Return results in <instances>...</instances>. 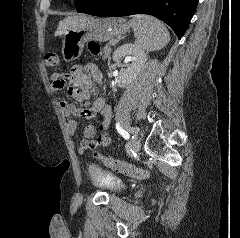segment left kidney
Segmentation results:
<instances>
[{
	"label": "left kidney",
	"instance_id": "obj_1",
	"mask_svg": "<svg viewBox=\"0 0 240 238\" xmlns=\"http://www.w3.org/2000/svg\"><path fill=\"white\" fill-rule=\"evenodd\" d=\"M124 57L125 61L131 62L127 68H123L120 64V60ZM146 59L144 50L136 43H126L118 47L113 54V60L122 67L116 80L117 85L121 88L129 85L144 66Z\"/></svg>",
	"mask_w": 240,
	"mask_h": 238
}]
</instances>
